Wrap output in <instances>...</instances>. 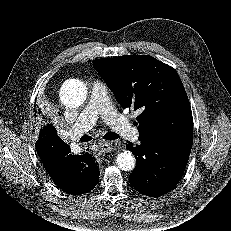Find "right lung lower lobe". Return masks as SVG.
Listing matches in <instances>:
<instances>
[{
  "instance_id": "right-lung-lower-lobe-1",
  "label": "right lung lower lobe",
  "mask_w": 231,
  "mask_h": 231,
  "mask_svg": "<svg viewBox=\"0 0 231 231\" xmlns=\"http://www.w3.org/2000/svg\"><path fill=\"white\" fill-rule=\"evenodd\" d=\"M35 146L45 169L63 191L80 195L98 183L100 172L95 158L89 153L72 155L54 126L41 129Z\"/></svg>"
}]
</instances>
